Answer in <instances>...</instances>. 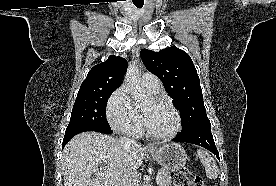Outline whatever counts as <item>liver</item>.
<instances>
[{
    "instance_id": "1",
    "label": "liver",
    "mask_w": 276,
    "mask_h": 186,
    "mask_svg": "<svg viewBox=\"0 0 276 186\" xmlns=\"http://www.w3.org/2000/svg\"><path fill=\"white\" fill-rule=\"evenodd\" d=\"M143 159L139 145L125 147L108 135L80 133L63 150L64 186H119L127 171L137 173ZM101 161L103 169L98 168Z\"/></svg>"
}]
</instances>
